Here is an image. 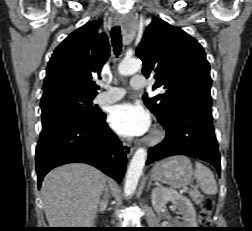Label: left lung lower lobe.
I'll list each match as a JSON object with an SVG mask.
<instances>
[{
    "label": "left lung lower lobe",
    "instance_id": "left-lung-lower-lobe-1",
    "mask_svg": "<svg viewBox=\"0 0 252 231\" xmlns=\"http://www.w3.org/2000/svg\"><path fill=\"white\" fill-rule=\"evenodd\" d=\"M211 104L187 100L174 105L159 122L166 130L164 141L150 148L146 164L174 156H191L212 164L220 175V154L212 123Z\"/></svg>",
    "mask_w": 252,
    "mask_h": 231
}]
</instances>
